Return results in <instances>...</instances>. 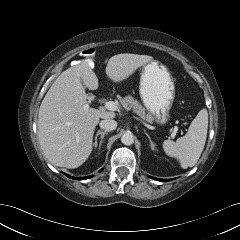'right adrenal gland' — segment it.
I'll return each instance as SVG.
<instances>
[{"label":"right adrenal gland","instance_id":"2a0ac1e0","mask_svg":"<svg viewBox=\"0 0 240 240\" xmlns=\"http://www.w3.org/2000/svg\"><path fill=\"white\" fill-rule=\"evenodd\" d=\"M107 133H108V131H100V130L96 133L95 142H94L95 148H96L97 145H98V144H97V138H98V136H100V138H101V141H100V143H99V148H100L101 145H102V140H103L105 134H107Z\"/></svg>","mask_w":240,"mask_h":240}]
</instances>
